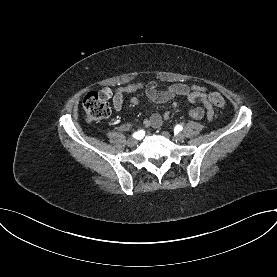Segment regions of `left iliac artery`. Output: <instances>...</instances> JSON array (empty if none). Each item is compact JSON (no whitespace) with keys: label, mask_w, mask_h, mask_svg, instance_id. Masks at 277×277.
<instances>
[{"label":"left iliac artery","mask_w":277,"mask_h":277,"mask_svg":"<svg viewBox=\"0 0 277 277\" xmlns=\"http://www.w3.org/2000/svg\"><path fill=\"white\" fill-rule=\"evenodd\" d=\"M182 129H183V128H182L181 125H177V126L175 127V130H176L177 132L181 131Z\"/></svg>","instance_id":"44dca946"}]
</instances>
